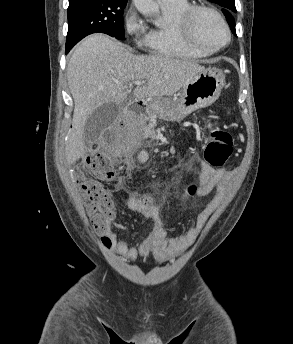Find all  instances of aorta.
<instances>
[{
    "mask_svg": "<svg viewBox=\"0 0 293 344\" xmlns=\"http://www.w3.org/2000/svg\"><path fill=\"white\" fill-rule=\"evenodd\" d=\"M136 9L146 17H156L159 14V5L155 0H133ZM158 20L155 24H158Z\"/></svg>",
    "mask_w": 293,
    "mask_h": 344,
    "instance_id": "762f6f07",
    "label": "aorta"
}]
</instances>
